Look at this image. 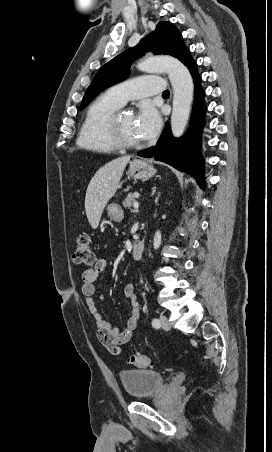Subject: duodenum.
Segmentation results:
<instances>
[{
	"mask_svg": "<svg viewBox=\"0 0 272 452\" xmlns=\"http://www.w3.org/2000/svg\"><path fill=\"white\" fill-rule=\"evenodd\" d=\"M145 250V243L144 242H137L133 245L132 248V258L133 259H140L144 253Z\"/></svg>",
	"mask_w": 272,
	"mask_h": 452,
	"instance_id": "duodenum-1",
	"label": "duodenum"
}]
</instances>
